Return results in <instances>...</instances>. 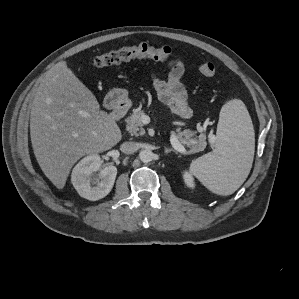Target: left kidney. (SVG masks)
Listing matches in <instances>:
<instances>
[{
  "label": "left kidney",
  "instance_id": "5707ae66",
  "mask_svg": "<svg viewBox=\"0 0 299 299\" xmlns=\"http://www.w3.org/2000/svg\"><path fill=\"white\" fill-rule=\"evenodd\" d=\"M183 179L185 184L189 187V188H194L195 187V183H194V179L191 176V174H189L188 172H185L183 174Z\"/></svg>",
  "mask_w": 299,
  "mask_h": 299
}]
</instances>
